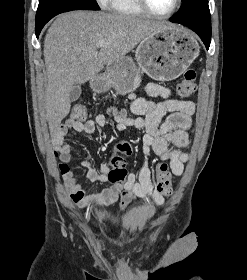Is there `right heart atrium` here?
Instances as JSON below:
<instances>
[{
	"label": "right heart atrium",
	"mask_w": 247,
	"mask_h": 280,
	"mask_svg": "<svg viewBox=\"0 0 247 280\" xmlns=\"http://www.w3.org/2000/svg\"><path fill=\"white\" fill-rule=\"evenodd\" d=\"M96 1H97V3H98L100 6H102V7L107 6V5H108V2H109V0H96Z\"/></svg>",
	"instance_id": "1"
}]
</instances>
